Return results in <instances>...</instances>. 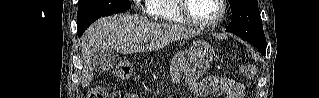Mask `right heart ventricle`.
I'll use <instances>...</instances> for the list:
<instances>
[{"mask_svg": "<svg viewBox=\"0 0 319 98\" xmlns=\"http://www.w3.org/2000/svg\"><path fill=\"white\" fill-rule=\"evenodd\" d=\"M146 10L157 19L185 24L178 9V0H146Z\"/></svg>", "mask_w": 319, "mask_h": 98, "instance_id": "e07e8e85", "label": "right heart ventricle"}]
</instances>
